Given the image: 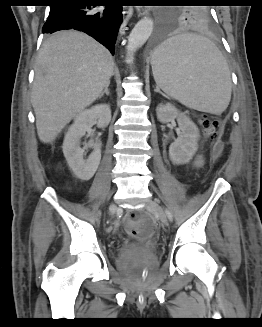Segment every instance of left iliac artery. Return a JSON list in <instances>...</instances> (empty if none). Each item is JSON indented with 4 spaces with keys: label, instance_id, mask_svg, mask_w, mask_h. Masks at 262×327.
<instances>
[{
    "label": "left iliac artery",
    "instance_id": "44dca946",
    "mask_svg": "<svg viewBox=\"0 0 262 327\" xmlns=\"http://www.w3.org/2000/svg\"><path fill=\"white\" fill-rule=\"evenodd\" d=\"M165 212H166V215H167V217L169 218V220H173V215H172V213H171V211L170 210H168V209H165Z\"/></svg>",
    "mask_w": 262,
    "mask_h": 327
}]
</instances>
